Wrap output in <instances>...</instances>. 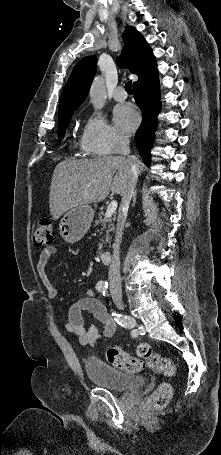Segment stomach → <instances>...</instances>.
<instances>
[{
	"label": "stomach",
	"instance_id": "obj_1",
	"mask_svg": "<svg viewBox=\"0 0 221 455\" xmlns=\"http://www.w3.org/2000/svg\"><path fill=\"white\" fill-rule=\"evenodd\" d=\"M94 213L88 204L69 209L59 223V233L63 240L70 244L80 241L90 228Z\"/></svg>",
	"mask_w": 221,
	"mask_h": 455
}]
</instances>
